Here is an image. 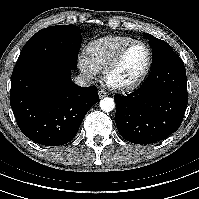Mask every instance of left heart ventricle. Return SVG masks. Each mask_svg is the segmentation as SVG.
<instances>
[{"label":"left heart ventricle","mask_w":199,"mask_h":199,"mask_svg":"<svg viewBox=\"0 0 199 199\" xmlns=\"http://www.w3.org/2000/svg\"><path fill=\"white\" fill-rule=\"evenodd\" d=\"M147 60V52L143 46H135L125 55L120 66L111 75L116 83L134 80L142 71Z\"/></svg>","instance_id":"1"}]
</instances>
